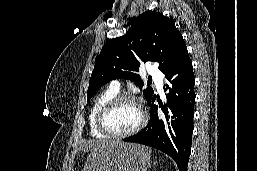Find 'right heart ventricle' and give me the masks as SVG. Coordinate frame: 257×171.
Returning a JSON list of instances; mask_svg holds the SVG:
<instances>
[{
    "label": "right heart ventricle",
    "instance_id": "1",
    "mask_svg": "<svg viewBox=\"0 0 257 171\" xmlns=\"http://www.w3.org/2000/svg\"><path fill=\"white\" fill-rule=\"evenodd\" d=\"M117 96V91H114L111 88H108L101 92L95 100L92 103V106L90 108L89 114H88V125H89V131L92 137L98 138V139H106L108 138L107 135L103 134L97 127V116L102 108V106L109 101L110 99Z\"/></svg>",
    "mask_w": 257,
    "mask_h": 171
}]
</instances>
